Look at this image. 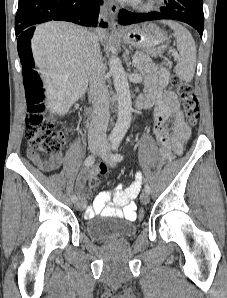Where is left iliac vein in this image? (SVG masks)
<instances>
[{
  "label": "left iliac vein",
  "instance_id": "1",
  "mask_svg": "<svg viewBox=\"0 0 227 298\" xmlns=\"http://www.w3.org/2000/svg\"><path fill=\"white\" fill-rule=\"evenodd\" d=\"M98 155L110 166H114L115 162L111 159L109 148L107 145H102L98 150ZM140 200L143 204H148L150 201L149 192L143 191L140 195Z\"/></svg>",
  "mask_w": 227,
  "mask_h": 298
}]
</instances>
